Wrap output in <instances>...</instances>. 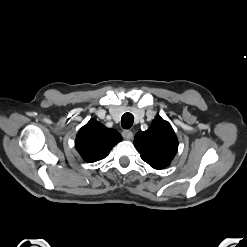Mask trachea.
I'll return each mask as SVG.
<instances>
[{
    "label": "trachea",
    "instance_id": "obj_1",
    "mask_svg": "<svg viewBox=\"0 0 247 247\" xmlns=\"http://www.w3.org/2000/svg\"><path fill=\"white\" fill-rule=\"evenodd\" d=\"M134 122V116L131 113H125L121 118V126L124 129H129Z\"/></svg>",
    "mask_w": 247,
    "mask_h": 247
}]
</instances>
